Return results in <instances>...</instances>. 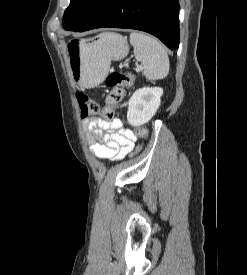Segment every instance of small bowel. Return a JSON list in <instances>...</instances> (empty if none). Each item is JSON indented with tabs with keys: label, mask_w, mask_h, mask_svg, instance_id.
<instances>
[{
	"label": "small bowel",
	"mask_w": 247,
	"mask_h": 275,
	"mask_svg": "<svg viewBox=\"0 0 247 275\" xmlns=\"http://www.w3.org/2000/svg\"><path fill=\"white\" fill-rule=\"evenodd\" d=\"M92 153L101 159L119 161L130 153L137 140L135 133L123 127L118 118L93 115L84 121Z\"/></svg>",
	"instance_id": "c3829d8e"
}]
</instances>
